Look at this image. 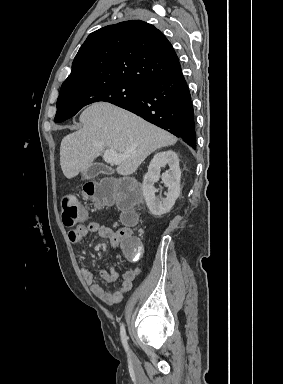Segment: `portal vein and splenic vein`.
<instances>
[{
  "label": "portal vein and splenic vein",
  "mask_w": 283,
  "mask_h": 384,
  "mask_svg": "<svg viewBox=\"0 0 283 384\" xmlns=\"http://www.w3.org/2000/svg\"><path fill=\"white\" fill-rule=\"evenodd\" d=\"M103 158L107 164H121L127 156H124V154H118L115 150H106Z\"/></svg>",
  "instance_id": "obj_1"
}]
</instances>
